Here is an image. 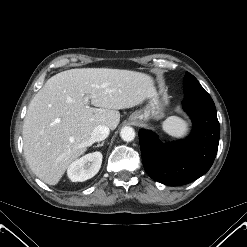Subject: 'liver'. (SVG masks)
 I'll return each instance as SVG.
<instances>
[{"instance_id": "1", "label": "liver", "mask_w": 247, "mask_h": 247, "mask_svg": "<svg viewBox=\"0 0 247 247\" xmlns=\"http://www.w3.org/2000/svg\"><path fill=\"white\" fill-rule=\"evenodd\" d=\"M154 93L152 77L136 71L81 68L52 76L31 100L24 119V155L32 172L56 185L93 144L95 127L115 130L118 110L140 105Z\"/></svg>"}]
</instances>
